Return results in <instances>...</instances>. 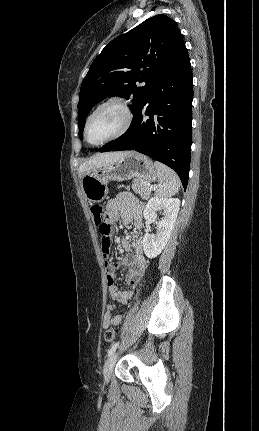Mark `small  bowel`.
I'll list each match as a JSON object with an SVG mask.
<instances>
[{
	"mask_svg": "<svg viewBox=\"0 0 259 431\" xmlns=\"http://www.w3.org/2000/svg\"><path fill=\"white\" fill-rule=\"evenodd\" d=\"M106 209L109 222H122L126 226H133L135 230L133 242L127 238L121 240L122 248L130 253L121 263L122 266L127 268V281L130 289L120 290L114 285L115 272L118 265L111 262L105 263L109 296L113 302L109 303L106 307L103 326L104 328H109L119 325L122 320L121 315L113 314L115 310L114 302L127 304L130 301L135 288L138 286L145 272L147 261L143 252V241L140 230L142 224V202L131 193H122L111 199L107 203Z\"/></svg>",
	"mask_w": 259,
	"mask_h": 431,
	"instance_id": "c3829d8e",
	"label": "small bowel"
}]
</instances>
